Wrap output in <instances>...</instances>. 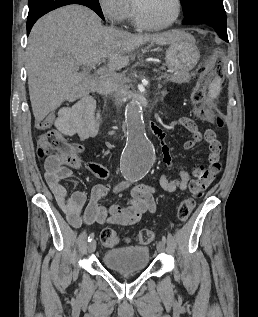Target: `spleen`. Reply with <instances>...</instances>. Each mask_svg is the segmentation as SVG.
<instances>
[{
	"label": "spleen",
	"mask_w": 258,
	"mask_h": 317,
	"mask_svg": "<svg viewBox=\"0 0 258 317\" xmlns=\"http://www.w3.org/2000/svg\"><path fill=\"white\" fill-rule=\"evenodd\" d=\"M221 90V80L220 78H214L211 84H209V96L211 98H217L218 94H220Z\"/></svg>",
	"instance_id": "obj_1"
}]
</instances>
